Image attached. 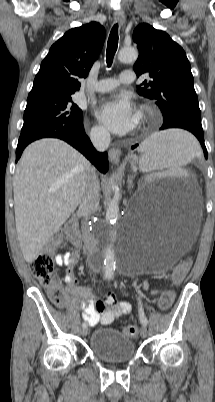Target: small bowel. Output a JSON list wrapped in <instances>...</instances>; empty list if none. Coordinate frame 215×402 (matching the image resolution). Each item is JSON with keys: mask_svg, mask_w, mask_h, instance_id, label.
I'll use <instances>...</instances> for the list:
<instances>
[{"mask_svg": "<svg viewBox=\"0 0 215 402\" xmlns=\"http://www.w3.org/2000/svg\"><path fill=\"white\" fill-rule=\"evenodd\" d=\"M77 255L71 251L64 255H57L56 262L58 265L68 266L67 273L64 277L66 284V292L69 295L81 299V308L83 309L82 318L89 326H95L99 323L107 325L121 315H127L132 311V306L128 302H117L112 295L106 296L104 299L96 301L92 288L80 285L76 281L72 273V267L76 262ZM143 289H148V284L141 285ZM152 294H157V290H152Z\"/></svg>", "mask_w": 215, "mask_h": 402, "instance_id": "c3829d8e", "label": "small bowel"}]
</instances>
